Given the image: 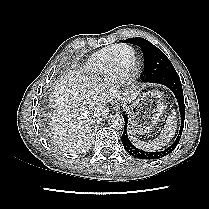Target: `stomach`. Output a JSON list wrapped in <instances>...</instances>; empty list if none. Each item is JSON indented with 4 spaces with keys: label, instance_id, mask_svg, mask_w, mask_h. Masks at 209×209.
<instances>
[{
    "label": "stomach",
    "instance_id": "0dacf381",
    "mask_svg": "<svg viewBox=\"0 0 209 209\" xmlns=\"http://www.w3.org/2000/svg\"><path fill=\"white\" fill-rule=\"evenodd\" d=\"M165 108V101L159 91L144 92L127 108L130 115L129 131L134 134L151 132Z\"/></svg>",
    "mask_w": 209,
    "mask_h": 209
}]
</instances>
